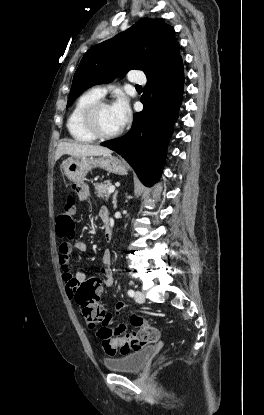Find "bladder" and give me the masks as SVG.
Instances as JSON below:
<instances>
[{
	"mask_svg": "<svg viewBox=\"0 0 264 415\" xmlns=\"http://www.w3.org/2000/svg\"><path fill=\"white\" fill-rule=\"evenodd\" d=\"M155 350V345L146 346L116 359H105L104 366L110 371L137 373L142 370Z\"/></svg>",
	"mask_w": 264,
	"mask_h": 415,
	"instance_id": "31cf9c89",
	"label": "bladder"
}]
</instances>
